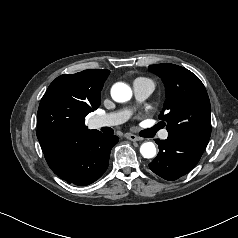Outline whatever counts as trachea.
Returning <instances> with one entry per match:
<instances>
[{
	"mask_svg": "<svg viewBox=\"0 0 238 238\" xmlns=\"http://www.w3.org/2000/svg\"><path fill=\"white\" fill-rule=\"evenodd\" d=\"M156 130H158V127H154L148 130L143 131L142 134H154L156 132Z\"/></svg>",
	"mask_w": 238,
	"mask_h": 238,
	"instance_id": "1",
	"label": "trachea"
}]
</instances>
